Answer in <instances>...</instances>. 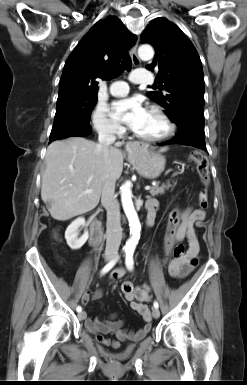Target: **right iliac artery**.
Returning a JSON list of instances; mask_svg holds the SVG:
<instances>
[{
	"mask_svg": "<svg viewBox=\"0 0 247 385\" xmlns=\"http://www.w3.org/2000/svg\"><path fill=\"white\" fill-rule=\"evenodd\" d=\"M117 260H118V258H115L112 261H110L107 265H105L104 268L101 271V274H105L108 271H110L114 267V265L116 264ZM76 311L77 312H81L82 311V307L81 306H77Z\"/></svg>",
	"mask_w": 247,
	"mask_h": 385,
	"instance_id": "82829eb1",
	"label": "right iliac artery"
}]
</instances>
